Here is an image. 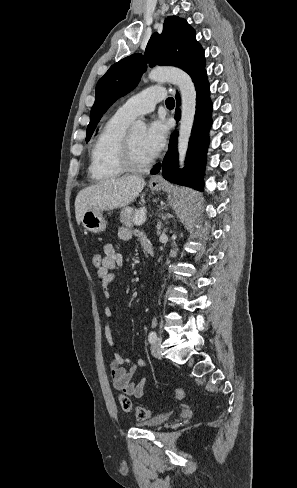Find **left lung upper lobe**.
<instances>
[{
  "label": "left lung upper lobe",
  "mask_w": 297,
  "mask_h": 488,
  "mask_svg": "<svg viewBox=\"0 0 297 488\" xmlns=\"http://www.w3.org/2000/svg\"><path fill=\"white\" fill-rule=\"evenodd\" d=\"M171 65L187 72L192 79L205 70L204 50L195 39V31L185 19L170 16L161 35L154 33L142 54H133L112 65L96 86V99L90 113L86 141L107 109L130 92L139 82L146 64Z\"/></svg>",
  "instance_id": "5c2ea615"
}]
</instances>
